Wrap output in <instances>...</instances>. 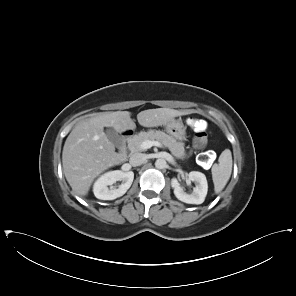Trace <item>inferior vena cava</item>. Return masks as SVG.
<instances>
[{
	"instance_id": "obj_1",
	"label": "inferior vena cava",
	"mask_w": 296,
	"mask_h": 296,
	"mask_svg": "<svg viewBox=\"0 0 296 296\" xmlns=\"http://www.w3.org/2000/svg\"><path fill=\"white\" fill-rule=\"evenodd\" d=\"M146 160V156L142 153H135L129 159L130 165L133 167L142 165Z\"/></svg>"
}]
</instances>
